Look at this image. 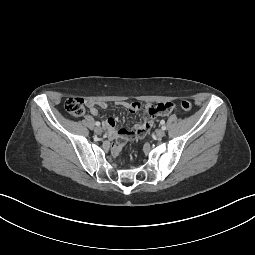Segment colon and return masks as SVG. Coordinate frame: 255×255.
Segmentation results:
<instances>
[{"label":"colon","instance_id":"5ec220e1","mask_svg":"<svg viewBox=\"0 0 255 255\" xmlns=\"http://www.w3.org/2000/svg\"><path fill=\"white\" fill-rule=\"evenodd\" d=\"M179 107L188 112L191 110L192 104L188 100H182L179 102ZM65 109L73 117H80L85 113V100L79 97H71L66 101Z\"/></svg>","mask_w":255,"mask_h":255}]
</instances>
